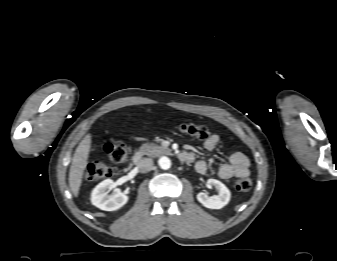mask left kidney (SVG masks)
Wrapping results in <instances>:
<instances>
[{"mask_svg":"<svg viewBox=\"0 0 337 261\" xmlns=\"http://www.w3.org/2000/svg\"><path fill=\"white\" fill-rule=\"evenodd\" d=\"M208 186L213 187L218 192L217 195L209 197L206 193L200 192L197 194V200L206 208L221 209L228 204L231 198L230 190L220 181L209 179Z\"/></svg>","mask_w":337,"mask_h":261,"instance_id":"5707ae66","label":"left kidney"}]
</instances>
